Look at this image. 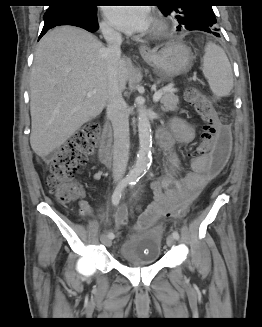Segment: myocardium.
<instances>
[{
  "mask_svg": "<svg viewBox=\"0 0 262 327\" xmlns=\"http://www.w3.org/2000/svg\"><path fill=\"white\" fill-rule=\"evenodd\" d=\"M163 31H164L163 24L159 20H155L153 22V25H152L149 33L153 36H158V35L162 34Z\"/></svg>",
  "mask_w": 262,
  "mask_h": 327,
  "instance_id": "f54148a6",
  "label": "myocardium"
}]
</instances>
